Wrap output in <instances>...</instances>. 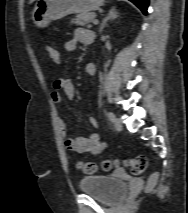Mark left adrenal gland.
Returning <instances> with one entry per match:
<instances>
[{
  "label": "left adrenal gland",
  "instance_id": "obj_1",
  "mask_svg": "<svg viewBox=\"0 0 188 213\" xmlns=\"http://www.w3.org/2000/svg\"><path fill=\"white\" fill-rule=\"evenodd\" d=\"M118 17V13L115 9V7H112L110 10H109V13L108 15L103 19L101 25H100V28H99V32L101 33L103 28L105 27L106 23L108 20H114Z\"/></svg>",
  "mask_w": 188,
  "mask_h": 213
}]
</instances>
